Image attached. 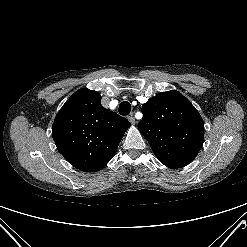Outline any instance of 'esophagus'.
<instances>
[{
	"mask_svg": "<svg viewBox=\"0 0 247 247\" xmlns=\"http://www.w3.org/2000/svg\"><path fill=\"white\" fill-rule=\"evenodd\" d=\"M128 120H129L130 123L133 124V125L136 123V120H135V118H134L133 115H130V116L128 117Z\"/></svg>",
	"mask_w": 247,
	"mask_h": 247,
	"instance_id": "34e87169",
	"label": "esophagus"
}]
</instances>
